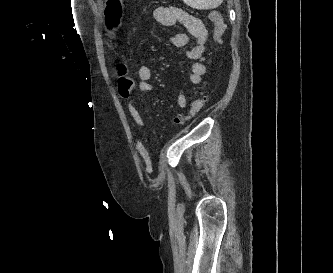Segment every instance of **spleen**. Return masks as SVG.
Masks as SVG:
<instances>
[{
	"label": "spleen",
	"instance_id": "3e777b00",
	"mask_svg": "<svg viewBox=\"0 0 333 273\" xmlns=\"http://www.w3.org/2000/svg\"><path fill=\"white\" fill-rule=\"evenodd\" d=\"M187 5L198 10L217 8L223 0H183Z\"/></svg>",
	"mask_w": 333,
	"mask_h": 273
}]
</instances>
